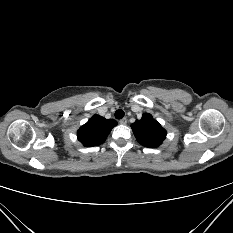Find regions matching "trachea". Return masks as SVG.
Listing matches in <instances>:
<instances>
[{
  "label": "trachea",
  "mask_w": 233,
  "mask_h": 233,
  "mask_svg": "<svg viewBox=\"0 0 233 233\" xmlns=\"http://www.w3.org/2000/svg\"><path fill=\"white\" fill-rule=\"evenodd\" d=\"M125 113L123 110L119 109L115 112V118L116 119H122L124 117Z\"/></svg>",
  "instance_id": "1"
}]
</instances>
